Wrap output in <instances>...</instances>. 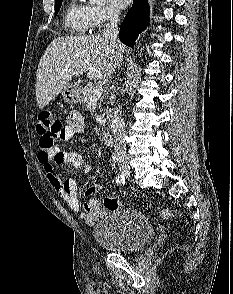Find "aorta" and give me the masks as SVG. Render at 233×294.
<instances>
[{"mask_svg":"<svg viewBox=\"0 0 233 294\" xmlns=\"http://www.w3.org/2000/svg\"><path fill=\"white\" fill-rule=\"evenodd\" d=\"M89 4H96V5H102L103 3H105V0H86ZM121 106H118L116 109H115V112H114V116L112 118V121H111V130L113 133L116 132V130L118 129V127L120 126L121 124Z\"/></svg>","mask_w":233,"mask_h":294,"instance_id":"aorta-1","label":"aorta"}]
</instances>
